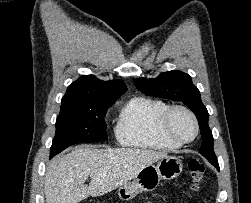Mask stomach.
Returning <instances> with one entry per match:
<instances>
[{"label":"stomach","mask_w":251,"mask_h":203,"mask_svg":"<svg viewBox=\"0 0 251 203\" xmlns=\"http://www.w3.org/2000/svg\"><path fill=\"white\" fill-rule=\"evenodd\" d=\"M183 164L176 156H166L156 164L143 168L133 181H129L118 189V196L124 201L133 199L138 193L154 190L160 180H171L182 172Z\"/></svg>","instance_id":"obj_1"}]
</instances>
